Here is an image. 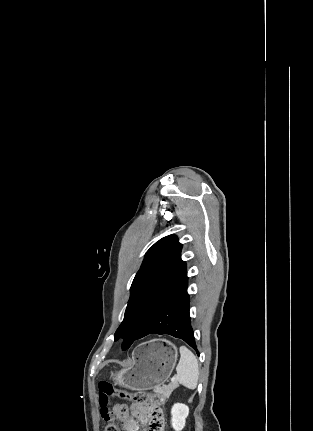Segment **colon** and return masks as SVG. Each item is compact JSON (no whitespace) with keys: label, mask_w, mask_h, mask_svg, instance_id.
<instances>
[{"label":"colon","mask_w":313,"mask_h":431,"mask_svg":"<svg viewBox=\"0 0 313 431\" xmlns=\"http://www.w3.org/2000/svg\"><path fill=\"white\" fill-rule=\"evenodd\" d=\"M234 116H237L235 119L236 122L241 123V118L236 114ZM98 395L101 407V416L107 423L104 431H118V428L113 422V418L107 408L108 401L112 397L145 405L149 414L153 417L151 431H163L162 405L164 403V399L161 395L153 394L148 391H138L135 393L126 392L117 389L108 381L99 382Z\"/></svg>","instance_id":"1"}]
</instances>
